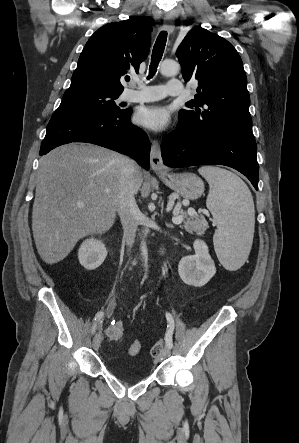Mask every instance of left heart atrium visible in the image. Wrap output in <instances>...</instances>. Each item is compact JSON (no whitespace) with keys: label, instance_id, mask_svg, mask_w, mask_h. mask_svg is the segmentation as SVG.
Wrapping results in <instances>:
<instances>
[{"label":"left heart atrium","instance_id":"left-heart-atrium-1","mask_svg":"<svg viewBox=\"0 0 299 443\" xmlns=\"http://www.w3.org/2000/svg\"><path fill=\"white\" fill-rule=\"evenodd\" d=\"M170 119L169 111L163 106L142 107L136 114L137 123L153 131L166 129Z\"/></svg>","mask_w":299,"mask_h":443}]
</instances>
